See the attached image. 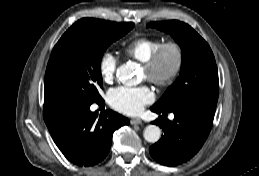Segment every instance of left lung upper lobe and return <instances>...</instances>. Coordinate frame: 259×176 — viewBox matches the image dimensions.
<instances>
[{"label":"left lung upper lobe","instance_id":"5c2ea615","mask_svg":"<svg viewBox=\"0 0 259 176\" xmlns=\"http://www.w3.org/2000/svg\"><path fill=\"white\" fill-rule=\"evenodd\" d=\"M148 26L169 33L182 49L180 76L153 107L172 111L185 105H199L215 110L219 91L218 71L207 42L181 21L151 22Z\"/></svg>","mask_w":259,"mask_h":176}]
</instances>
